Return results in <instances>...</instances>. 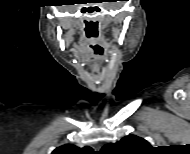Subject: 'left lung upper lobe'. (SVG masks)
Listing matches in <instances>:
<instances>
[{"instance_id":"1","label":"left lung upper lobe","mask_w":190,"mask_h":154,"mask_svg":"<svg viewBox=\"0 0 190 154\" xmlns=\"http://www.w3.org/2000/svg\"><path fill=\"white\" fill-rule=\"evenodd\" d=\"M152 149L151 145L135 135L126 136L116 143H110L102 148L105 154H139Z\"/></svg>"}]
</instances>
